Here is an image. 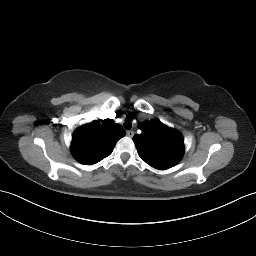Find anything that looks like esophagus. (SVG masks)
Listing matches in <instances>:
<instances>
[{
  "instance_id": "34e87169",
  "label": "esophagus",
  "mask_w": 256,
  "mask_h": 256,
  "mask_svg": "<svg viewBox=\"0 0 256 256\" xmlns=\"http://www.w3.org/2000/svg\"><path fill=\"white\" fill-rule=\"evenodd\" d=\"M126 134L128 137L132 138L134 136V131L129 130L126 132Z\"/></svg>"
}]
</instances>
